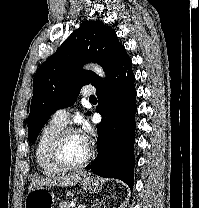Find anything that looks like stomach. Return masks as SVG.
<instances>
[{"label":"stomach","instance_id":"obj_1","mask_svg":"<svg viewBox=\"0 0 199 208\" xmlns=\"http://www.w3.org/2000/svg\"><path fill=\"white\" fill-rule=\"evenodd\" d=\"M103 183L100 179L86 177L81 181V187L88 193L102 190ZM54 195L46 187H37L28 192L25 197V208H53Z\"/></svg>","mask_w":199,"mask_h":208}]
</instances>
